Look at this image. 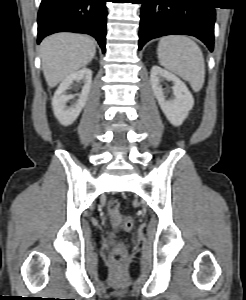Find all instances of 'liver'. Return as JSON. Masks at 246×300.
<instances>
[{"label": "liver", "mask_w": 246, "mask_h": 300, "mask_svg": "<svg viewBox=\"0 0 246 300\" xmlns=\"http://www.w3.org/2000/svg\"><path fill=\"white\" fill-rule=\"evenodd\" d=\"M94 41L76 33H56L40 45V57L45 80L55 87L68 75L90 63L95 55Z\"/></svg>", "instance_id": "1"}]
</instances>
